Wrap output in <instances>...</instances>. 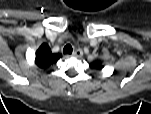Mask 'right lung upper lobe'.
I'll return each mask as SVG.
<instances>
[{
	"label": "right lung upper lobe",
	"instance_id": "right-lung-upper-lobe-1",
	"mask_svg": "<svg viewBox=\"0 0 151 114\" xmlns=\"http://www.w3.org/2000/svg\"><path fill=\"white\" fill-rule=\"evenodd\" d=\"M61 58V54L52 53L50 47L43 43L36 51L35 63L38 67L46 69L56 63Z\"/></svg>",
	"mask_w": 151,
	"mask_h": 114
}]
</instances>
